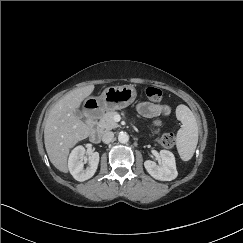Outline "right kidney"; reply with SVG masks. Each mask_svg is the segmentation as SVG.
<instances>
[{"mask_svg":"<svg viewBox=\"0 0 243 243\" xmlns=\"http://www.w3.org/2000/svg\"><path fill=\"white\" fill-rule=\"evenodd\" d=\"M85 152L86 150L83 146H77L70 153L68 160V168L71 175L80 182L93 177L99 164V153L94 152L88 160L89 167L84 169V164L86 163Z\"/></svg>","mask_w":243,"mask_h":243,"instance_id":"1","label":"right kidney"}]
</instances>
